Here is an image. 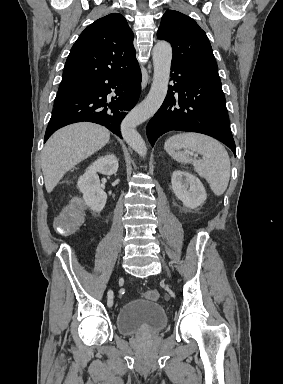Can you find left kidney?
<instances>
[{
	"label": "left kidney",
	"mask_w": 283,
	"mask_h": 384,
	"mask_svg": "<svg viewBox=\"0 0 283 384\" xmlns=\"http://www.w3.org/2000/svg\"><path fill=\"white\" fill-rule=\"evenodd\" d=\"M171 182L175 196L183 202L186 208L194 210V208L204 204L207 194L202 182L196 176L182 172V170H176L172 174Z\"/></svg>",
	"instance_id": "left-kidney-1"
}]
</instances>
